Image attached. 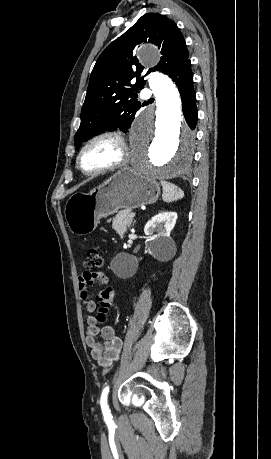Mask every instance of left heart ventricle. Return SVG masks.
Masks as SVG:
<instances>
[{"label":"left heart ventricle","mask_w":271,"mask_h":459,"mask_svg":"<svg viewBox=\"0 0 271 459\" xmlns=\"http://www.w3.org/2000/svg\"><path fill=\"white\" fill-rule=\"evenodd\" d=\"M118 155V144L111 137H102L91 142L81 157V166L86 171L94 170L113 161Z\"/></svg>","instance_id":"obj_1"}]
</instances>
